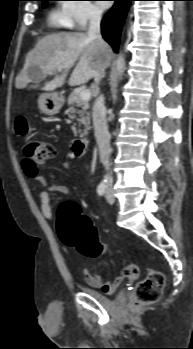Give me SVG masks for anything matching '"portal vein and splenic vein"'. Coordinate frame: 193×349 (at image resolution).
I'll return each mask as SVG.
<instances>
[{
    "mask_svg": "<svg viewBox=\"0 0 193 349\" xmlns=\"http://www.w3.org/2000/svg\"><path fill=\"white\" fill-rule=\"evenodd\" d=\"M60 71V70H59ZM80 97L83 100H89L91 97V92L88 89H84L80 92Z\"/></svg>",
    "mask_w": 193,
    "mask_h": 349,
    "instance_id": "obj_1",
    "label": "portal vein and splenic vein"
}]
</instances>
